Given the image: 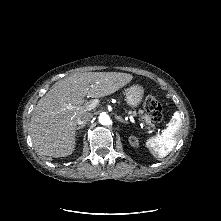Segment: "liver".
I'll list each match as a JSON object with an SVG mask.
<instances>
[{
    "instance_id": "1",
    "label": "liver",
    "mask_w": 221,
    "mask_h": 221,
    "mask_svg": "<svg viewBox=\"0 0 221 221\" xmlns=\"http://www.w3.org/2000/svg\"><path fill=\"white\" fill-rule=\"evenodd\" d=\"M133 76L120 72L74 74L55 85L37 103L30 121V134L38 152L65 157L75 150L78 118L86 113L80 107L84 97L102 98L127 85Z\"/></svg>"
}]
</instances>
